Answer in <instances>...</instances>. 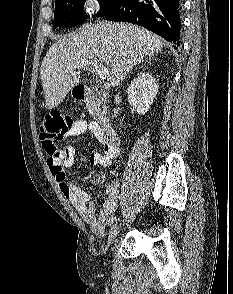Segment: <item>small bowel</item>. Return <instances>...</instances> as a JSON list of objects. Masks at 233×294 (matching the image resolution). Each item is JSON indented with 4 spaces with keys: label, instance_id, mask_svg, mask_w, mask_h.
<instances>
[{
    "label": "small bowel",
    "instance_id": "obj_1",
    "mask_svg": "<svg viewBox=\"0 0 233 294\" xmlns=\"http://www.w3.org/2000/svg\"><path fill=\"white\" fill-rule=\"evenodd\" d=\"M90 132L96 140L104 147V152L94 151L90 154L89 162L91 165L110 166L120 152L118 138L111 142L103 134L101 126L94 121L77 120L66 132V137L80 136ZM76 149L72 146L66 147L60 152L58 158L48 157L47 165L54 180L57 182L60 191L70 202L74 209L81 215L86 223L90 225L95 233L103 232L107 221L111 218L120 199V187L117 182L106 184V198L98 215L95 213L91 196L85 190L71 185L66 180V169L74 164ZM106 177L103 173L96 174L94 182L97 186L105 184Z\"/></svg>",
    "mask_w": 233,
    "mask_h": 294
}]
</instances>
